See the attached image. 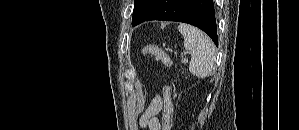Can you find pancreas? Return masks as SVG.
I'll list each match as a JSON object with an SVG mask.
<instances>
[{
    "label": "pancreas",
    "instance_id": "obj_1",
    "mask_svg": "<svg viewBox=\"0 0 299 130\" xmlns=\"http://www.w3.org/2000/svg\"><path fill=\"white\" fill-rule=\"evenodd\" d=\"M185 61H186V59L183 58V59H182V62H185Z\"/></svg>",
    "mask_w": 299,
    "mask_h": 130
}]
</instances>
